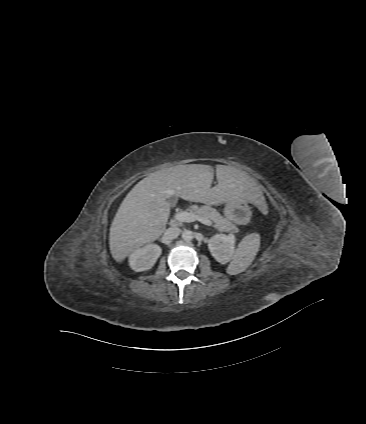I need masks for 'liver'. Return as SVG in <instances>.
I'll return each instance as SVG.
<instances>
[{"instance_id": "obj_1", "label": "liver", "mask_w": 366, "mask_h": 424, "mask_svg": "<svg viewBox=\"0 0 366 424\" xmlns=\"http://www.w3.org/2000/svg\"><path fill=\"white\" fill-rule=\"evenodd\" d=\"M213 167L180 165L151 173L138 182L121 203L109 234L112 257L122 262L142 245L157 240L165 231L171 197L207 205L228 201L261 204L262 193L254 180L234 167L217 165L218 184L211 187Z\"/></svg>"}]
</instances>
